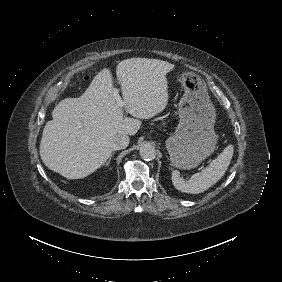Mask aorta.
<instances>
[{"label": "aorta", "instance_id": "762f6f07", "mask_svg": "<svg viewBox=\"0 0 282 282\" xmlns=\"http://www.w3.org/2000/svg\"><path fill=\"white\" fill-rule=\"evenodd\" d=\"M139 154L143 160L150 161L155 159L156 150L153 146L145 144L140 148Z\"/></svg>", "mask_w": 282, "mask_h": 282}]
</instances>
